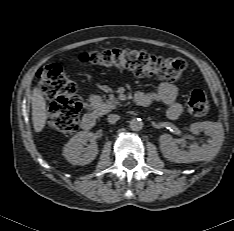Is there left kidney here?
<instances>
[{
  "mask_svg": "<svg viewBox=\"0 0 234 231\" xmlns=\"http://www.w3.org/2000/svg\"><path fill=\"white\" fill-rule=\"evenodd\" d=\"M190 131L198 135L203 131L211 139L199 146L197 143L190 145L189 150L178 148L175 139L169 134H163L159 138L160 149L163 156L176 163H189L213 158L220 150L224 141L222 125L216 122H197L190 125Z\"/></svg>",
  "mask_w": 234,
  "mask_h": 231,
  "instance_id": "left-kidney-1",
  "label": "left kidney"
}]
</instances>
